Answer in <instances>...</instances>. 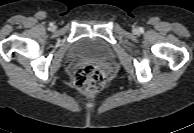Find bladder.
<instances>
[{
  "label": "bladder",
  "instance_id": "obj_1",
  "mask_svg": "<svg viewBox=\"0 0 194 133\" xmlns=\"http://www.w3.org/2000/svg\"><path fill=\"white\" fill-rule=\"evenodd\" d=\"M113 55L111 46L99 37H81L70 48L69 56L79 59L106 60Z\"/></svg>",
  "mask_w": 194,
  "mask_h": 133
}]
</instances>
